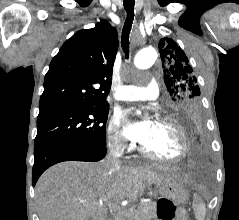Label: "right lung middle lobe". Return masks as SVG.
I'll list each match as a JSON object with an SVG mask.
<instances>
[{
    "instance_id": "1",
    "label": "right lung middle lobe",
    "mask_w": 239,
    "mask_h": 220,
    "mask_svg": "<svg viewBox=\"0 0 239 220\" xmlns=\"http://www.w3.org/2000/svg\"><path fill=\"white\" fill-rule=\"evenodd\" d=\"M109 106L56 108L40 111L35 149L51 144L105 147Z\"/></svg>"
}]
</instances>
